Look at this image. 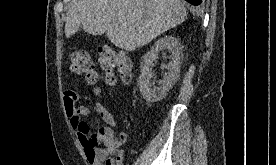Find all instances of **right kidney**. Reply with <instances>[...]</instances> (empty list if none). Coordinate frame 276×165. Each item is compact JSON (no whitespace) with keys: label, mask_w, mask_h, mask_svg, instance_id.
<instances>
[{"label":"right kidney","mask_w":276,"mask_h":165,"mask_svg":"<svg viewBox=\"0 0 276 165\" xmlns=\"http://www.w3.org/2000/svg\"><path fill=\"white\" fill-rule=\"evenodd\" d=\"M164 50H168L171 53L170 62L163 66V68L168 70V73L162 80H159L158 86H155L154 82H150L153 77L152 66L158 58V53ZM182 57L181 44L177 38L170 35L157 40L151 50L142 57L141 75L138 79V85L143 98L147 102L154 103L166 96V93L179 77Z\"/></svg>","instance_id":"obj_1"}]
</instances>
